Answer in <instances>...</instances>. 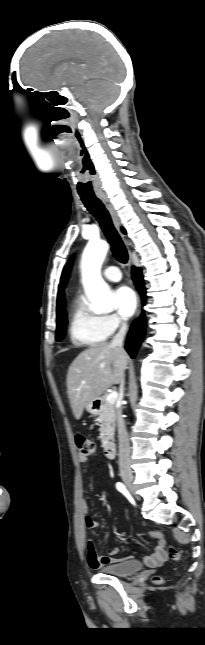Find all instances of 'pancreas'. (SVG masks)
Listing matches in <instances>:
<instances>
[{"mask_svg":"<svg viewBox=\"0 0 205 645\" xmlns=\"http://www.w3.org/2000/svg\"><path fill=\"white\" fill-rule=\"evenodd\" d=\"M115 403L107 401V397L102 399V407L98 417L100 422V440L102 444H107L114 439L115 431Z\"/></svg>","mask_w":205,"mask_h":645,"instance_id":"cf45deb5","label":"pancreas"}]
</instances>
